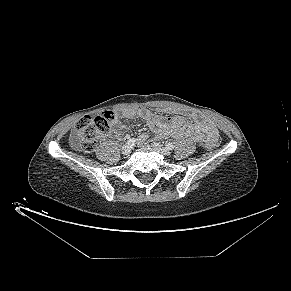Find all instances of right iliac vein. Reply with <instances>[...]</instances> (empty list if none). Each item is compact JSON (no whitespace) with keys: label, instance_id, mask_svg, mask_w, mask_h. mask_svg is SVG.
<instances>
[{"label":"right iliac vein","instance_id":"right-iliac-vein-1","mask_svg":"<svg viewBox=\"0 0 291 291\" xmlns=\"http://www.w3.org/2000/svg\"><path fill=\"white\" fill-rule=\"evenodd\" d=\"M131 146L130 145H124L123 147H122V154H124V155H129L130 154V152H131Z\"/></svg>","mask_w":291,"mask_h":291}]
</instances>
